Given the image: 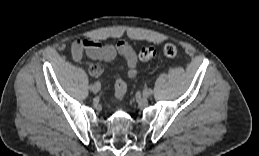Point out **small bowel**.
I'll return each mask as SVG.
<instances>
[{
  "label": "small bowel",
  "instance_id": "obj_1",
  "mask_svg": "<svg viewBox=\"0 0 259 156\" xmlns=\"http://www.w3.org/2000/svg\"><path fill=\"white\" fill-rule=\"evenodd\" d=\"M94 60L112 61L117 55L125 60L128 67L129 78H134L137 74V57L133 48L124 41L118 42L116 45H102L98 41L91 39H79L71 45V57L73 61L80 62L83 55ZM89 73L93 77H99L103 73V69L98 65L89 67Z\"/></svg>",
  "mask_w": 259,
  "mask_h": 156
}]
</instances>
